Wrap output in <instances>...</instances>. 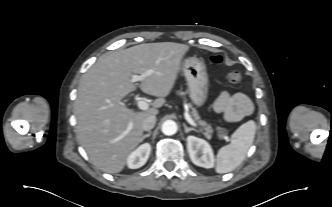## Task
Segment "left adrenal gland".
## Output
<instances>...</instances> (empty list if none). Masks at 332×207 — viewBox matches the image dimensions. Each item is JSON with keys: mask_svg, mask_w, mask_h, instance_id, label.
Returning a JSON list of instances; mask_svg holds the SVG:
<instances>
[{"mask_svg": "<svg viewBox=\"0 0 332 207\" xmlns=\"http://www.w3.org/2000/svg\"><path fill=\"white\" fill-rule=\"evenodd\" d=\"M183 126H184V129H185V133H188L190 131H196L197 132V130L195 128L187 127L185 123L183 124Z\"/></svg>", "mask_w": 332, "mask_h": 207, "instance_id": "left-adrenal-gland-1", "label": "left adrenal gland"}]
</instances>
